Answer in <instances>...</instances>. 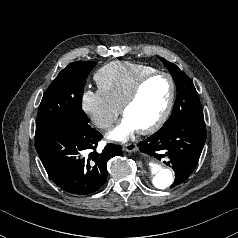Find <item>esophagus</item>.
Segmentation results:
<instances>
[{"mask_svg":"<svg viewBox=\"0 0 238 238\" xmlns=\"http://www.w3.org/2000/svg\"><path fill=\"white\" fill-rule=\"evenodd\" d=\"M123 150H125L126 152H135L137 150V146L135 144H125L123 146Z\"/></svg>","mask_w":238,"mask_h":238,"instance_id":"esophagus-1","label":"esophagus"}]
</instances>
